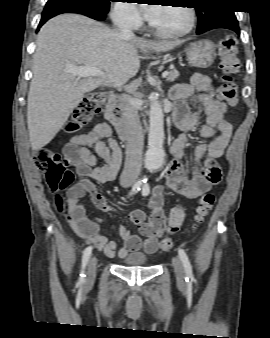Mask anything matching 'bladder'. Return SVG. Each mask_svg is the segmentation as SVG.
Returning <instances> with one entry per match:
<instances>
[{"instance_id": "31cf9c89", "label": "bladder", "mask_w": 270, "mask_h": 338, "mask_svg": "<svg viewBox=\"0 0 270 338\" xmlns=\"http://www.w3.org/2000/svg\"><path fill=\"white\" fill-rule=\"evenodd\" d=\"M149 258L141 253L131 254L124 257L123 265L127 267H144L148 264Z\"/></svg>"}]
</instances>
